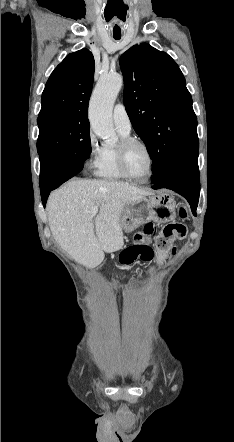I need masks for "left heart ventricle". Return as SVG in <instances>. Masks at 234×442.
I'll return each instance as SVG.
<instances>
[{
    "label": "left heart ventricle",
    "instance_id": "1",
    "mask_svg": "<svg viewBox=\"0 0 234 442\" xmlns=\"http://www.w3.org/2000/svg\"><path fill=\"white\" fill-rule=\"evenodd\" d=\"M127 166L131 174L144 178L149 172V159L146 151L139 145H133L127 152Z\"/></svg>",
    "mask_w": 234,
    "mask_h": 442
}]
</instances>
